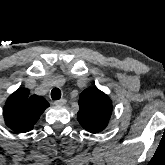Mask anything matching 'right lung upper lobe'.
Instances as JSON below:
<instances>
[{"instance_id": "right-lung-upper-lobe-1", "label": "right lung upper lobe", "mask_w": 165, "mask_h": 165, "mask_svg": "<svg viewBox=\"0 0 165 165\" xmlns=\"http://www.w3.org/2000/svg\"><path fill=\"white\" fill-rule=\"evenodd\" d=\"M29 90L21 88L9 96L4 106L6 125L15 132L23 133L33 129L49 103L44 97L29 95Z\"/></svg>"}]
</instances>
